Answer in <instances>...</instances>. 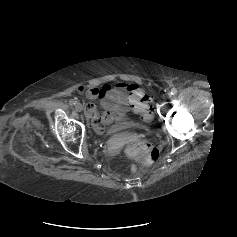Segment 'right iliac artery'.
<instances>
[{"mask_svg":"<svg viewBox=\"0 0 237 237\" xmlns=\"http://www.w3.org/2000/svg\"><path fill=\"white\" fill-rule=\"evenodd\" d=\"M77 103V101L75 100V99H71L70 101H69V104L70 105H75Z\"/></svg>","mask_w":237,"mask_h":237,"instance_id":"right-iliac-artery-1","label":"right iliac artery"}]
</instances>
